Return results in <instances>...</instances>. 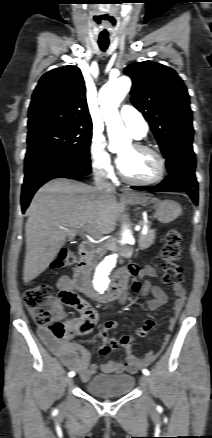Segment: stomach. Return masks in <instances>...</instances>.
Masks as SVG:
<instances>
[{"mask_svg":"<svg viewBox=\"0 0 212 438\" xmlns=\"http://www.w3.org/2000/svg\"><path fill=\"white\" fill-rule=\"evenodd\" d=\"M129 202L136 204H153L155 210L154 216L162 223H170L181 214V206L173 200H159L158 198H149L143 195H134L128 198Z\"/></svg>","mask_w":212,"mask_h":438,"instance_id":"stomach-1","label":"stomach"}]
</instances>
